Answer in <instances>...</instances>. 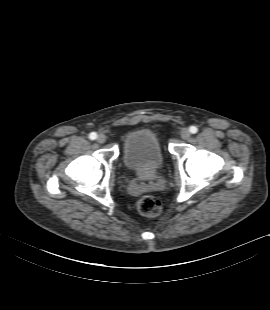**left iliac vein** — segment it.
<instances>
[{
    "label": "left iliac vein",
    "mask_w": 270,
    "mask_h": 310,
    "mask_svg": "<svg viewBox=\"0 0 270 310\" xmlns=\"http://www.w3.org/2000/svg\"><path fill=\"white\" fill-rule=\"evenodd\" d=\"M190 135H191V133H190V131L187 128H183L180 131V136L184 140L188 139L190 137Z\"/></svg>",
    "instance_id": "obj_1"
}]
</instances>
